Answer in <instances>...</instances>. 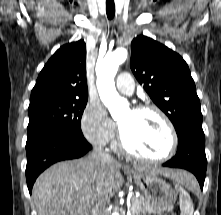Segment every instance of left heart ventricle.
<instances>
[{"instance_id":"obj_1","label":"left heart ventricle","mask_w":221,"mask_h":215,"mask_svg":"<svg viewBox=\"0 0 221 215\" xmlns=\"http://www.w3.org/2000/svg\"><path fill=\"white\" fill-rule=\"evenodd\" d=\"M119 125L126 143L136 153L160 157L168 151V131L155 113L130 110L119 120Z\"/></svg>"}]
</instances>
